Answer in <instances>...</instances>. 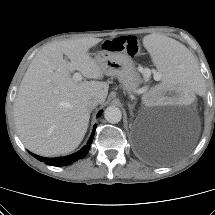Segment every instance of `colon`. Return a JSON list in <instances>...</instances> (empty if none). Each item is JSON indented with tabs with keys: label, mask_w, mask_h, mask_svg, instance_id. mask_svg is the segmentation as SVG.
Instances as JSON below:
<instances>
[{
	"label": "colon",
	"mask_w": 215,
	"mask_h": 215,
	"mask_svg": "<svg viewBox=\"0 0 215 215\" xmlns=\"http://www.w3.org/2000/svg\"><path fill=\"white\" fill-rule=\"evenodd\" d=\"M102 48L114 52H123L131 57L138 56L142 53L140 43L135 36H120L114 39H104Z\"/></svg>",
	"instance_id": "5ec220e1"
}]
</instances>
